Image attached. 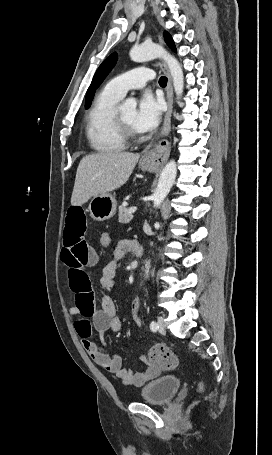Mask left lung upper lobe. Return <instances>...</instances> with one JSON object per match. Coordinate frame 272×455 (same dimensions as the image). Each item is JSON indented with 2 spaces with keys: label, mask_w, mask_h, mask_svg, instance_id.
<instances>
[{
  "label": "left lung upper lobe",
  "mask_w": 272,
  "mask_h": 455,
  "mask_svg": "<svg viewBox=\"0 0 272 455\" xmlns=\"http://www.w3.org/2000/svg\"><path fill=\"white\" fill-rule=\"evenodd\" d=\"M164 38H165L167 45L173 51H176L174 41H173L172 37L170 36V34L165 32ZM116 61H117V54L113 53L108 58H106L102 62V64L99 66V68L97 69V71L93 77L92 83H91L90 87L88 88V91L86 94L85 108L90 107L92 99L94 97L95 90L99 87V85L103 82L105 77L112 70V68L116 64Z\"/></svg>",
  "instance_id": "5c2ea615"
}]
</instances>
